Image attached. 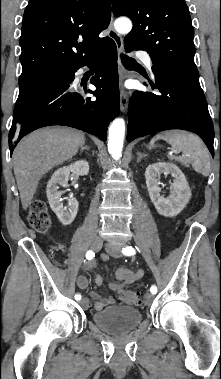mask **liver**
Masks as SVG:
<instances>
[{"label": "liver", "instance_id": "6515ba94", "mask_svg": "<svg viewBox=\"0 0 221 379\" xmlns=\"http://www.w3.org/2000/svg\"><path fill=\"white\" fill-rule=\"evenodd\" d=\"M84 143V133L64 127L42 128L21 140L13 152V167L24 210L42 176L75 156Z\"/></svg>", "mask_w": 221, "mask_h": 379}]
</instances>
